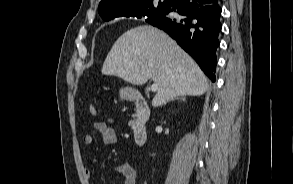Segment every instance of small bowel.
Listing matches in <instances>:
<instances>
[{
    "mask_svg": "<svg viewBox=\"0 0 293 184\" xmlns=\"http://www.w3.org/2000/svg\"><path fill=\"white\" fill-rule=\"evenodd\" d=\"M116 124L115 120L112 118H107L104 120L96 121L93 123L92 127L96 130L105 145H112L116 143L117 137L113 126ZM83 144L85 147L91 146L93 143V137L91 134H85L83 136ZM116 172L122 174L125 178L124 184H136L138 179V173L135 167L129 163H121L115 167ZM84 175L89 180L91 179V170L88 166L84 168Z\"/></svg>",
    "mask_w": 293,
    "mask_h": 184,
    "instance_id": "1",
    "label": "small bowel"
}]
</instances>
